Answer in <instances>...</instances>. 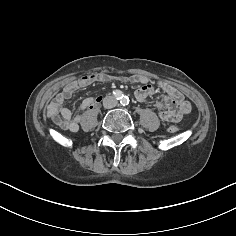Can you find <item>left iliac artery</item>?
<instances>
[{
	"instance_id": "obj_1",
	"label": "left iliac artery",
	"mask_w": 236,
	"mask_h": 236,
	"mask_svg": "<svg viewBox=\"0 0 236 236\" xmlns=\"http://www.w3.org/2000/svg\"><path fill=\"white\" fill-rule=\"evenodd\" d=\"M128 103H129V98L127 96H124L121 100V104L125 106L128 105Z\"/></svg>"
}]
</instances>
